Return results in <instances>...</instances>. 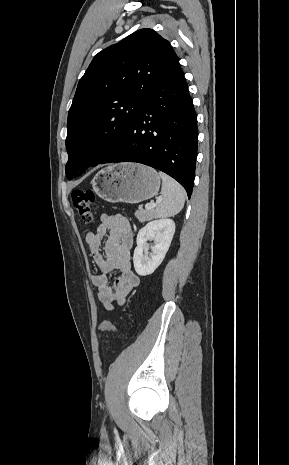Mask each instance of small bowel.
<instances>
[{
  "instance_id": "small-bowel-1",
  "label": "small bowel",
  "mask_w": 289,
  "mask_h": 465,
  "mask_svg": "<svg viewBox=\"0 0 289 465\" xmlns=\"http://www.w3.org/2000/svg\"><path fill=\"white\" fill-rule=\"evenodd\" d=\"M104 238L106 240L102 252L101 243ZM85 242L101 271L100 274L90 276L97 288L99 300L108 310L115 305H123L127 295L139 284V277L133 272L130 261L133 242L131 224L120 214L103 213L96 231L88 232ZM114 270L119 272V276L111 285L108 274Z\"/></svg>"
}]
</instances>
